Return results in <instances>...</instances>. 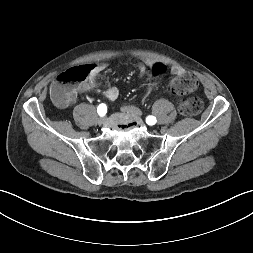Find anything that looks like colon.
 I'll return each mask as SVG.
<instances>
[{"label":"colon","instance_id":"obj_1","mask_svg":"<svg viewBox=\"0 0 253 253\" xmlns=\"http://www.w3.org/2000/svg\"><path fill=\"white\" fill-rule=\"evenodd\" d=\"M151 66V70L156 74L162 72L165 74L167 72L166 69L168 68L165 64L161 65L157 61ZM156 66L157 68H155ZM89 71L90 68L88 67H78L71 68L61 73L51 89V96L54 102L62 106L69 104L74 98L76 84L83 82L87 78ZM151 79L153 83L148 85L142 93V97L145 100L149 97V94L155 92L158 87V84L155 82L156 78L153 76ZM197 86L198 80L196 76L187 72H183L181 75L176 76L171 80V91L175 95L181 97L178 108L179 112L184 116L197 115L203 108V103L199 98L186 97V95L196 89Z\"/></svg>","mask_w":253,"mask_h":253}]
</instances>
